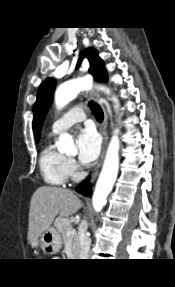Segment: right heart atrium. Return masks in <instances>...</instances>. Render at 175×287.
<instances>
[{
    "mask_svg": "<svg viewBox=\"0 0 175 287\" xmlns=\"http://www.w3.org/2000/svg\"><path fill=\"white\" fill-rule=\"evenodd\" d=\"M67 172L69 177L75 178L79 174V167L76 161L72 158H67Z\"/></svg>",
    "mask_w": 175,
    "mask_h": 287,
    "instance_id": "d8ad5b80",
    "label": "right heart atrium"
}]
</instances>
